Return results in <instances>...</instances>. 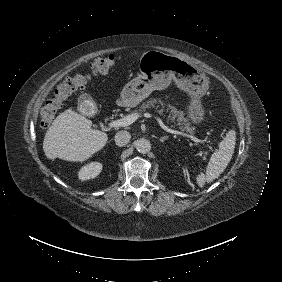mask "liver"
<instances>
[{"label": "liver", "mask_w": 282, "mask_h": 282, "mask_svg": "<svg viewBox=\"0 0 282 282\" xmlns=\"http://www.w3.org/2000/svg\"><path fill=\"white\" fill-rule=\"evenodd\" d=\"M92 121L71 109L59 114L45 134L43 150L47 158L83 162L101 150L108 136L91 128Z\"/></svg>", "instance_id": "liver-1"}]
</instances>
